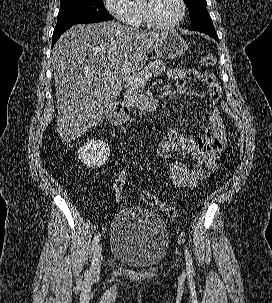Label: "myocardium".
I'll list each match as a JSON object with an SVG mask.
<instances>
[{"instance_id":"f54148a6","label":"myocardium","mask_w":272,"mask_h":303,"mask_svg":"<svg viewBox=\"0 0 272 303\" xmlns=\"http://www.w3.org/2000/svg\"><path fill=\"white\" fill-rule=\"evenodd\" d=\"M178 2L181 7V12L179 17L174 22L165 25L157 22L153 16L152 7L154 0H142V12H143L145 23L151 28L157 30H170L177 27L184 20L187 12L186 2L184 0H178Z\"/></svg>"}]
</instances>
